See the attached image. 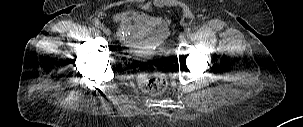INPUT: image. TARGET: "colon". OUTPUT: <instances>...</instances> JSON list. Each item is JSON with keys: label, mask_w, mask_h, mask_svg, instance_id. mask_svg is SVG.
I'll return each instance as SVG.
<instances>
[{"label": "colon", "mask_w": 303, "mask_h": 127, "mask_svg": "<svg viewBox=\"0 0 303 127\" xmlns=\"http://www.w3.org/2000/svg\"><path fill=\"white\" fill-rule=\"evenodd\" d=\"M136 81L142 91L151 95L162 94L167 88V79L163 70L150 61L139 64Z\"/></svg>", "instance_id": "colon-1"}]
</instances>
